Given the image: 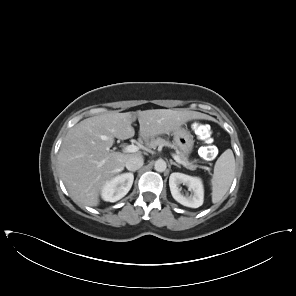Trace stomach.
<instances>
[{"instance_id": "1", "label": "stomach", "mask_w": 296, "mask_h": 296, "mask_svg": "<svg viewBox=\"0 0 296 296\" xmlns=\"http://www.w3.org/2000/svg\"><path fill=\"white\" fill-rule=\"evenodd\" d=\"M175 145L180 149V151L188 156L194 145L193 136L190 132L184 128H179L173 132Z\"/></svg>"}]
</instances>
